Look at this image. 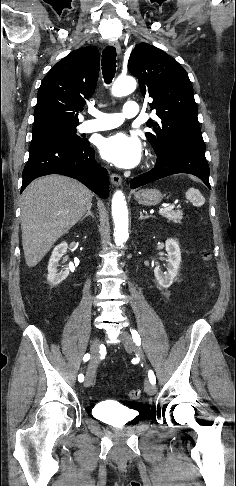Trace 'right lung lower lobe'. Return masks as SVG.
Returning a JSON list of instances; mask_svg holds the SVG:
<instances>
[{"label":"right lung lower lobe","mask_w":236,"mask_h":486,"mask_svg":"<svg viewBox=\"0 0 236 486\" xmlns=\"http://www.w3.org/2000/svg\"><path fill=\"white\" fill-rule=\"evenodd\" d=\"M49 174L75 178L102 198L109 195L108 172L96 162L94 150L87 140L80 144L56 140L31 141L21 192L34 179Z\"/></svg>","instance_id":"obj_1"}]
</instances>
